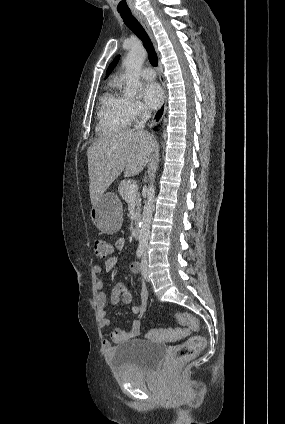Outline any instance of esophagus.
Masks as SVG:
<instances>
[{
	"label": "esophagus",
	"instance_id": "34e87169",
	"mask_svg": "<svg viewBox=\"0 0 285 424\" xmlns=\"http://www.w3.org/2000/svg\"><path fill=\"white\" fill-rule=\"evenodd\" d=\"M134 16L138 19V21L140 22V24L143 26V28L145 29L146 33L148 34V36L150 37V39L152 40L153 44V36H152V31L150 28V25L148 24L146 18L144 17V15L142 13H140L139 11H133ZM162 89H163V100L161 103V106L159 107V109L154 113L153 117H152V121H151V125L152 126H156L157 124H159L166 112V108H167V90H166V85L165 82L162 81Z\"/></svg>",
	"mask_w": 285,
	"mask_h": 424
}]
</instances>
